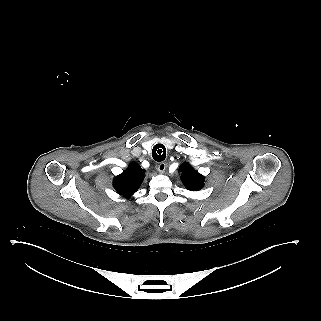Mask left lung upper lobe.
I'll return each mask as SVG.
<instances>
[{"mask_svg": "<svg viewBox=\"0 0 321 321\" xmlns=\"http://www.w3.org/2000/svg\"><path fill=\"white\" fill-rule=\"evenodd\" d=\"M179 171L182 173L181 180L187 190L199 191L203 188L204 177L196 172L188 163H183Z\"/></svg>", "mask_w": 321, "mask_h": 321, "instance_id": "obj_1", "label": "left lung upper lobe"}]
</instances>
